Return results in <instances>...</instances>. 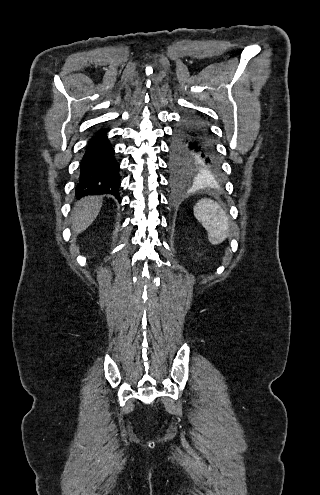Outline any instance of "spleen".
Here are the masks:
<instances>
[{
  "label": "spleen",
  "instance_id": "1",
  "mask_svg": "<svg viewBox=\"0 0 320 495\" xmlns=\"http://www.w3.org/2000/svg\"><path fill=\"white\" fill-rule=\"evenodd\" d=\"M194 215L208 234V240L213 245L222 243L230 233L226 211L212 199H201L194 206Z\"/></svg>",
  "mask_w": 320,
  "mask_h": 495
}]
</instances>
